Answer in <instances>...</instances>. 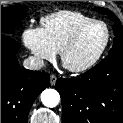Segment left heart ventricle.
<instances>
[{
    "label": "left heart ventricle",
    "instance_id": "1",
    "mask_svg": "<svg viewBox=\"0 0 123 123\" xmlns=\"http://www.w3.org/2000/svg\"><path fill=\"white\" fill-rule=\"evenodd\" d=\"M106 39V31L101 25L87 29L70 50L66 61L70 66H81L89 62L100 50Z\"/></svg>",
    "mask_w": 123,
    "mask_h": 123
}]
</instances>
